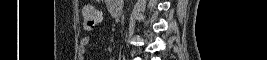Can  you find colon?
Segmentation results:
<instances>
[{
  "instance_id": "obj_1",
  "label": "colon",
  "mask_w": 267,
  "mask_h": 60,
  "mask_svg": "<svg viewBox=\"0 0 267 60\" xmlns=\"http://www.w3.org/2000/svg\"><path fill=\"white\" fill-rule=\"evenodd\" d=\"M83 26L85 29H92L101 22V10L91 4L85 5L82 10Z\"/></svg>"
}]
</instances>
